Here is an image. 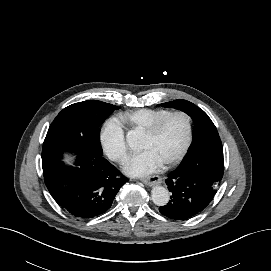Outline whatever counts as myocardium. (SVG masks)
<instances>
[{"label":"myocardium","mask_w":271,"mask_h":271,"mask_svg":"<svg viewBox=\"0 0 271 271\" xmlns=\"http://www.w3.org/2000/svg\"><path fill=\"white\" fill-rule=\"evenodd\" d=\"M175 115H184L189 123V132H188V137L187 140L184 144V146L182 147V149L179 151L178 154H176L174 157L161 162V165H174L179 163L187 154V152L189 151L192 142H193V135H194V120L192 118V116L183 110H175V111H170L169 113L165 114L164 116L160 117L159 119H157L156 121H154L152 124H150L146 129H144L143 135L144 136H152L155 133L158 132V130L163 126V124L171 117L175 116Z\"/></svg>","instance_id":"1"}]
</instances>
